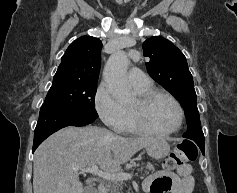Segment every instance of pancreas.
Returning a JSON list of instances; mask_svg holds the SVG:
<instances>
[{
    "instance_id": "obj_1",
    "label": "pancreas",
    "mask_w": 237,
    "mask_h": 193,
    "mask_svg": "<svg viewBox=\"0 0 237 193\" xmlns=\"http://www.w3.org/2000/svg\"><path fill=\"white\" fill-rule=\"evenodd\" d=\"M140 170L144 172V174H149V172H154L155 168L153 164L148 162L146 165H140ZM110 193H124L123 192V183H111L109 184Z\"/></svg>"
}]
</instances>
